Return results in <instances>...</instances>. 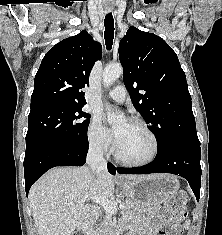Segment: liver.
Masks as SVG:
<instances>
[{"mask_svg":"<svg viewBox=\"0 0 222 235\" xmlns=\"http://www.w3.org/2000/svg\"><path fill=\"white\" fill-rule=\"evenodd\" d=\"M149 176L127 175L128 180ZM115 190L114 178L104 171L92 172L87 166L55 167L30 189L29 201L39 235H71L90 218L94 196L108 199Z\"/></svg>","mask_w":222,"mask_h":235,"instance_id":"obj_1","label":"liver"}]
</instances>
